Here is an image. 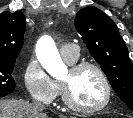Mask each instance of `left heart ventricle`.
Listing matches in <instances>:
<instances>
[{
  "mask_svg": "<svg viewBox=\"0 0 133 118\" xmlns=\"http://www.w3.org/2000/svg\"><path fill=\"white\" fill-rule=\"evenodd\" d=\"M70 87L73 100L84 107H93L100 104L105 98V88L98 73L87 68L72 75L70 70L62 78Z\"/></svg>",
  "mask_w": 133,
  "mask_h": 118,
  "instance_id": "b2bd125f",
  "label": "left heart ventricle"
}]
</instances>
